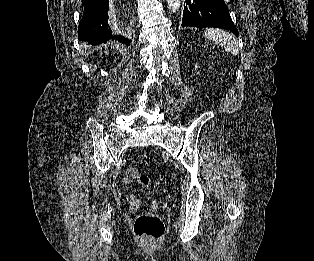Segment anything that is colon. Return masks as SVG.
Instances as JSON below:
<instances>
[{"mask_svg":"<svg viewBox=\"0 0 314 261\" xmlns=\"http://www.w3.org/2000/svg\"><path fill=\"white\" fill-rule=\"evenodd\" d=\"M124 180L127 183H137L144 189L148 188L151 184L150 177L145 173H141L136 168H128L124 172ZM155 206L156 204L154 203L150 210L140 214L134 222L135 234L147 242L159 240L165 232L163 221L153 212Z\"/></svg>","mask_w":314,"mask_h":261,"instance_id":"1","label":"colon"}]
</instances>
